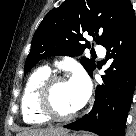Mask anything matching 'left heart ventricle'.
Wrapping results in <instances>:
<instances>
[{"label":"left heart ventricle","mask_w":136,"mask_h":136,"mask_svg":"<svg viewBox=\"0 0 136 136\" xmlns=\"http://www.w3.org/2000/svg\"><path fill=\"white\" fill-rule=\"evenodd\" d=\"M51 100L54 110L60 115H67L78 109L68 81L54 86Z\"/></svg>","instance_id":"1"}]
</instances>
